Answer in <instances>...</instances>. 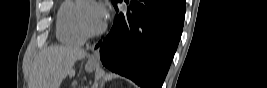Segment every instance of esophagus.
I'll list each match as a JSON object with an SVG mask.
<instances>
[{
	"label": "esophagus",
	"mask_w": 267,
	"mask_h": 88,
	"mask_svg": "<svg viewBox=\"0 0 267 88\" xmlns=\"http://www.w3.org/2000/svg\"><path fill=\"white\" fill-rule=\"evenodd\" d=\"M98 60H99V52H98V50H96V51L91 55V57L89 58V62H93V63H95V62H98Z\"/></svg>",
	"instance_id": "34e87169"
}]
</instances>
